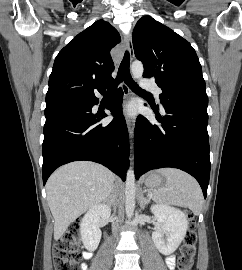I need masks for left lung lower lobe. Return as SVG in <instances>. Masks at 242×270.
<instances>
[{
    "mask_svg": "<svg viewBox=\"0 0 242 270\" xmlns=\"http://www.w3.org/2000/svg\"><path fill=\"white\" fill-rule=\"evenodd\" d=\"M161 115L153 108L161 125L138 116L135 136V177L149 170L173 167L197 179L204 197L210 177L207 105L178 104L163 106Z\"/></svg>",
    "mask_w": 242,
    "mask_h": 270,
    "instance_id": "1",
    "label": "left lung lower lobe"
}]
</instances>
